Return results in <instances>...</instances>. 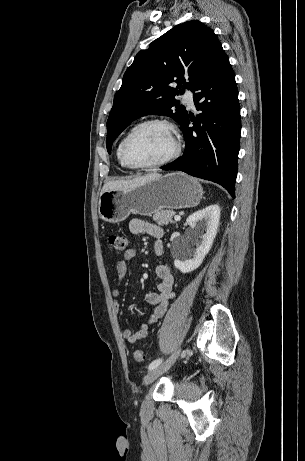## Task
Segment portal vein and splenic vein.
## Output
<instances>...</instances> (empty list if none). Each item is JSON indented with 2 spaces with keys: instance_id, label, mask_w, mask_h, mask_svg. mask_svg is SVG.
I'll return each instance as SVG.
<instances>
[{
  "instance_id": "1",
  "label": "portal vein and splenic vein",
  "mask_w": 305,
  "mask_h": 461,
  "mask_svg": "<svg viewBox=\"0 0 305 461\" xmlns=\"http://www.w3.org/2000/svg\"><path fill=\"white\" fill-rule=\"evenodd\" d=\"M174 219H175V221H180L181 217L179 215H175Z\"/></svg>"
}]
</instances>
